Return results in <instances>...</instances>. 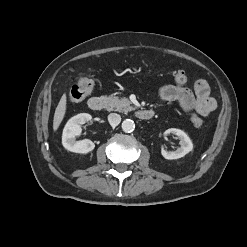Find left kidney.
Masks as SVG:
<instances>
[{
  "instance_id": "1",
  "label": "left kidney",
  "mask_w": 247,
  "mask_h": 247,
  "mask_svg": "<svg viewBox=\"0 0 247 247\" xmlns=\"http://www.w3.org/2000/svg\"><path fill=\"white\" fill-rule=\"evenodd\" d=\"M174 134L179 137L181 147L176 151H166L162 148L161 153L165 159L174 160L184 157L186 154L193 150V143L189 136L182 130L176 128H170L164 132L165 135Z\"/></svg>"
}]
</instances>
